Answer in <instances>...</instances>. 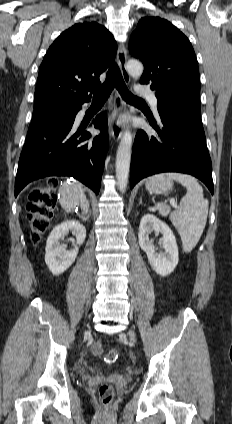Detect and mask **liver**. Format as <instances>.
Listing matches in <instances>:
<instances>
[{
	"mask_svg": "<svg viewBox=\"0 0 232 424\" xmlns=\"http://www.w3.org/2000/svg\"><path fill=\"white\" fill-rule=\"evenodd\" d=\"M81 196H85L82 185L76 180L64 182L59 188V202L67 212L78 208Z\"/></svg>",
	"mask_w": 232,
	"mask_h": 424,
	"instance_id": "liver-1",
	"label": "liver"
}]
</instances>
